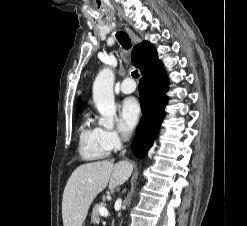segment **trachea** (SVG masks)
I'll return each instance as SVG.
<instances>
[{
	"label": "trachea",
	"instance_id": "obj_1",
	"mask_svg": "<svg viewBox=\"0 0 247 226\" xmlns=\"http://www.w3.org/2000/svg\"><path fill=\"white\" fill-rule=\"evenodd\" d=\"M116 38L118 39L119 43L122 45V47L124 49L127 50V49L131 48V40H130L129 36L125 32H123V31L118 32L116 34ZM131 75H132L133 78H138L139 77V74H138L137 70L133 71L131 73Z\"/></svg>",
	"mask_w": 247,
	"mask_h": 226
}]
</instances>
